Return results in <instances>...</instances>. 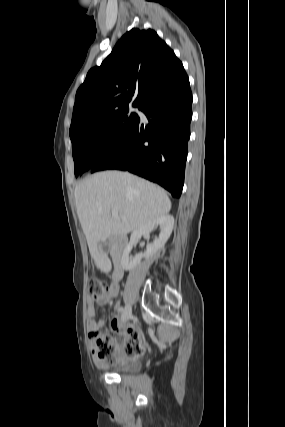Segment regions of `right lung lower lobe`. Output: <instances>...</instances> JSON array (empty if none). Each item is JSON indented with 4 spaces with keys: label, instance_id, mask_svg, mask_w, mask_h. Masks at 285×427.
I'll return each instance as SVG.
<instances>
[{
    "label": "right lung lower lobe",
    "instance_id": "1",
    "mask_svg": "<svg viewBox=\"0 0 285 427\" xmlns=\"http://www.w3.org/2000/svg\"><path fill=\"white\" fill-rule=\"evenodd\" d=\"M191 104L189 79L182 68L153 87L139 104L149 124L144 127L138 118L122 144L91 172L129 171L158 183L179 198L190 138Z\"/></svg>",
    "mask_w": 285,
    "mask_h": 427
}]
</instances>
